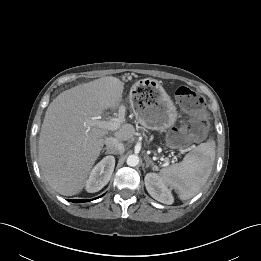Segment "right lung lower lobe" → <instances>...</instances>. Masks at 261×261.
<instances>
[{
	"instance_id": "1",
	"label": "right lung lower lobe",
	"mask_w": 261,
	"mask_h": 261,
	"mask_svg": "<svg viewBox=\"0 0 261 261\" xmlns=\"http://www.w3.org/2000/svg\"><path fill=\"white\" fill-rule=\"evenodd\" d=\"M86 201H91V200H72V202H76V203L86 202Z\"/></svg>"
}]
</instances>
